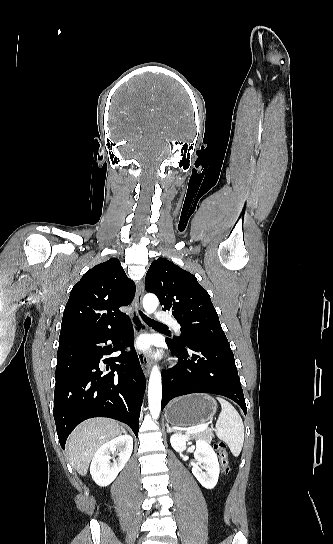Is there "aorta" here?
Listing matches in <instances>:
<instances>
[{
  "mask_svg": "<svg viewBox=\"0 0 333 544\" xmlns=\"http://www.w3.org/2000/svg\"><path fill=\"white\" fill-rule=\"evenodd\" d=\"M159 305V300L154 294H146L143 298V307L148 314L153 313ZM162 399V381L157 365L153 366L148 385V407L154 419L159 418Z\"/></svg>",
  "mask_w": 333,
  "mask_h": 544,
  "instance_id": "762f6f07",
  "label": "aorta"
}]
</instances>
